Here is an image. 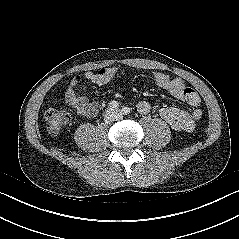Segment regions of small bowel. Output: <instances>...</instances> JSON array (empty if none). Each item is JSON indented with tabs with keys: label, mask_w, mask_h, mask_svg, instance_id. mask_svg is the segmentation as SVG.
<instances>
[{
	"label": "small bowel",
	"mask_w": 239,
	"mask_h": 239,
	"mask_svg": "<svg viewBox=\"0 0 239 239\" xmlns=\"http://www.w3.org/2000/svg\"><path fill=\"white\" fill-rule=\"evenodd\" d=\"M117 74L116 67H107L97 72H86L83 76H75L66 92V101L71 105L78 114L84 117H94L99 110V105L90 102L87 97L79 94L76 88L81 84L83 78L92 83L102 86L109 83ZM155 84L169 92L177 100H184L183 90L185 88L184 81L179 77L171 78L164 72H155L153 74ZM151 110V105L147 101H141L137 105V111L142 115H147ZM161 117L174 130L192 131L196 124L202 118L203 112L201 108H194L188 112L176 106H166L160 109Z\"/></svg>",
	"instance_id": "1"
}]
</instances>
